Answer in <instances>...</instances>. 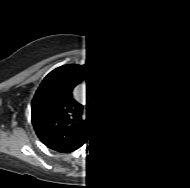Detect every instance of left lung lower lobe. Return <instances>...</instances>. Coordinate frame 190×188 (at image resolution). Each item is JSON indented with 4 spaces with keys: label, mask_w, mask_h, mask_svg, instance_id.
<instances>
[{
    "label": "left lung lower lobe",
    "mask_w": 190,
    "mask_h": 188,
    "mask_svg": "<svg viewBox=\"0 0 190 188\" xmlns=\"http://www.w3.org/2000/svg\"><path fill=\"white\" fill-rule=\"evenodd\" d=\"M122 139L132 148H140L146 143L147 139L155 134V130L137 127L126 123L120 128Z\"/></svg>",
    "instance_id": "left-lung-lower-lobe-1"
}]
</instances>
